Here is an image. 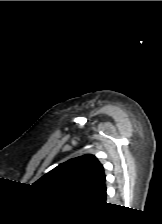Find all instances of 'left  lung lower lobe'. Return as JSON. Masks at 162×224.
Instances as JSON below:
<instances>
[{"label": "left lung lower lobe", "instance_id": "0a47b994", "mask_svg": "<svg viewBox=\"0 0 162 224\" xmlns=\"http://www.w3.org/2000/svg\"><path fill=\"white\" fill-rule=\"evenodd\" d=\"M91 201L97 203H105L106 200V186L104 185L101 189L93 193L88 197Z\"/></svg>", "mask_w": 162, "mask_h": 224}]
</instances>
